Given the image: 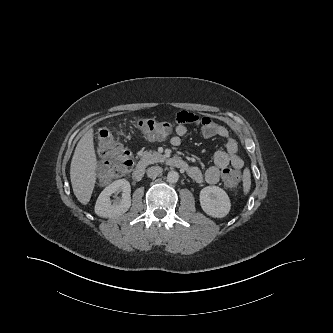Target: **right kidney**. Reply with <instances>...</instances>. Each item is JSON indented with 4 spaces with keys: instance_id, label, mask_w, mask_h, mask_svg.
Segmentation results:
<instances>
[{
    "instance_id": "ca27d5eb",
    "label": "right kidney",
    "mask_w": 333,
    "mask_h": 333,
    "mask_svg": "<svg viewBox=\"0 0 333 333\" xmlns=\"http://www.w3.org/2000/svg\"><path fill=\"white\" fill-rule=\"evenodd\" d=\"M118 192H122V198L112 204L110 196ZM130 193L131 187L127 180L114 181L100 193L95 204V213L100 217H115L124 214L131 206Z\"/></svg>"
}]
</instances>
